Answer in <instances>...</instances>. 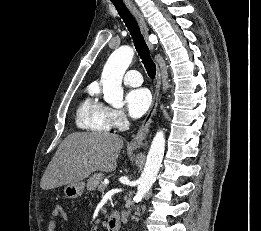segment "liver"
Instances as JSON below:
<instances>
[{
    "label": "liver",
    "instance_id": "6515ba94",
    "mask_svg": "<svg viewBox=\"0 0 261 231\" xmlns=\"http://www.w3.org/2000/svg\"><path fill=\"white\" fill-rule=\"evenodd\" d=\"M122 147L123 140L116 134H70L55 152L41 179L40 187L50 190L78 183L95 171H114Z\"/></svg>",
    "mask_w": 261,
    "mask_h": 231
}]
</instances>
